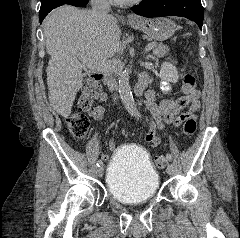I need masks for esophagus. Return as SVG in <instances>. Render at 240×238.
Segmentation results:
<instances>
[{"label": "esophagus", "mask_w": 240, "mask_h": 238, "mask_svg": "<svg viewBox=\"0 0 240 238\" xmlns=\"http://www.w3.org/2000/svg\"><path fill=\"white\" fill-rule=\"evenodd\" d=\"M127 18H128V19H136V17L133 16V15H131V14L127 15Z\"/></svg>", "instance_id": "1"}]
</instances>
